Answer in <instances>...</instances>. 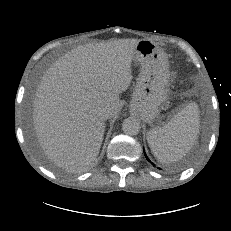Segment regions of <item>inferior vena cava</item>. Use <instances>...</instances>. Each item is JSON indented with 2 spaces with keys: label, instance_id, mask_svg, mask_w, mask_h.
<instances>
[{
  "label": "inferior vena cava",
  "instance_id": "inferior-vena-cava-1",
  "mask_svg": "<svg viewBox=\"0 0 231 231\" xmlns=\"http://www.w3.org/2000/svg\"><path fill=\"white\" fill-rule=\"evenodd\" d=\"M99 117L102 120H107L110 117V111L106 108L101 110V112L99 113Z\"/></svg>",
  "mask_w": 231,
  "mask_h": 231
}]
</instances>
